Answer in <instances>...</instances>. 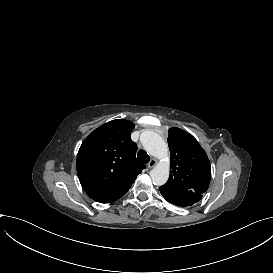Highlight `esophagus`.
<instances>
[{
    "label": "esophagus",
    "instance_id": "1",
    "mask_svg": "<svg viewBox=\"0 0 273 273\" xmlns=\"http://www.w3.org/2000/svg\"><path fill=\"white\" fill-rule=\"evenodd\" d=\"M156 164H157V160L154 159V158H152V159L150 160V162L148 163L147 167H148V168H153Z\"/></svg>",
    "mask_w": 273,
    "mask_h": 273
}]
</instances>
